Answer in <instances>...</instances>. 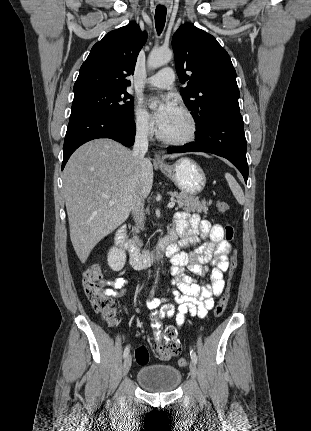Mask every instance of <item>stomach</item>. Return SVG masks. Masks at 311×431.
<instances>
[{"mask_svg": "<svg viewBox=\"0 0 311 431\" xmlns=\"http://www.w3.org/2000/svg\"><path fill=\"white\" fill-rule=\"evenodd\" d=\"M159 170L172 180L181 194L198 196L206 186V176L202 168L191 158H180L172 166H159Z\"/></svg>", "mask_w": 311, "mask_h": 431, "instance_id": "stomach-1", "label": "stomach"}]
</instances>
